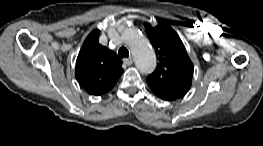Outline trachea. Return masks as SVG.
Wrapping results in <instances>:
<instances>
[{"label":"trachea","instance_id":"1","mask_svg":"<svg viewBox=\"0 0 263 146\" xmlns=\"http://www.w3.org/2000/svg\"><path fill=\"white\" fill-rule=\"evenodd\" d=\"M118 54L121 58H124V57L127 58L129 56V52L125 47L120 48L118 51Z\"/></svg>","mask_w":263,"mask_h":146}]
</instances>
